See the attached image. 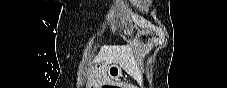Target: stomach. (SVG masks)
Masks as SVG:
<instances>
[{
    "instance_id": "obj_1",
    "label": "stomach",
    "mask_w": 227,
    "mask_h": 88,
    "mask_svg": "<svg viewBox=\"0 0 227 88\" xmlns=\"http://www.w3.org/2000/svg\"><path fill=\"white\" fill-rule=\"evenodd\" d=\"M108 76L111 79H117L121 76V68L117 64H111L106 69Z\"/></svg>"
}]
</instances>
